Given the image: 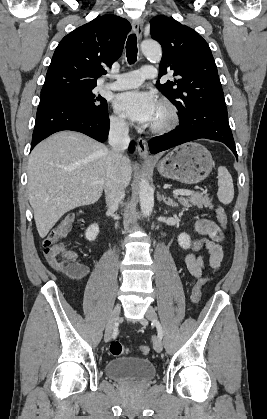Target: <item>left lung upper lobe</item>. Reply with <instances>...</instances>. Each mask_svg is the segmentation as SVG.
I'll use <instances>...</instances> for the list:
<instances>
[{
    "instance_id": "obj_1",
    "label": "left lung upper lobe",
    "mask_w": 267,
    "mask_h": 419,
    "mask_svg": "<svg viewBox=\"0 0 267 419\" xmlns=\"http://www.w3.org/2000/svg\"><path fill=\"white\" fill-rule=\"evenodd\" d=\"M150 33L163 48L159 78L169 71L176 77L156 86L176 106L179 120L198 109L226 108L211 50L195 30L160 15L151 20Z\"/></svg>"
}]
</instances>
